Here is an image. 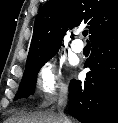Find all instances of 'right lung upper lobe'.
I'll use <instances>...</instances> for the list:
<instances>
[{
  "label": "right lung upper lobe",
  "mask_w": 118,
  "mask_h": 123,
  "mask_svg": "<svg viewBox=\"0 0 118 123\" xmlns=\"http://www.w3.org/2000/svg\"><path fill=\"white\" fill-rule=\"evenodd\" d=\"M86 25L91 43L118 30V0H50L39 11L26 68L57 53L66 30ZM25 68V69H26Z\"/></svg>",
  "instance_id": "1"
}]
</instances>
